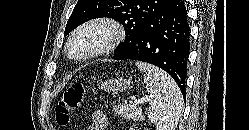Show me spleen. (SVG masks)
Segmentation results:
<instances>
[{"instance_id":"spleen-1","label":"spleen","mask_w":249,"mask_h":130,"mask_svg":"<svg viewBox=\"0 0 249 130\" xmlns=\"http://www.w3.org/2000/svg\"><path fill=\"white\" fill-rule=\"evenodd\" d=\"M148 92V118L157 130H175L182 113V94L176 82L157 66L137 61Z\"/></svg>"}]
</instances>
